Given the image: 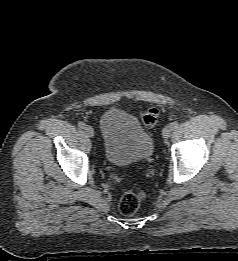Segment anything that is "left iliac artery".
<instances>
[{
	"mask_svg": "<svg viewBox=\"0 0 238 261\" xmlns=\"http://www.w3.org/2000/svg\"><path fill=\"white\" fill-rule=\"evenodd\" d=\"M178 125H179L178 121H174V122L171 123V126H172L173 129H176L178 127Z\"/></svg>",
	"mask_w": 238,
	"mask_h": 261,
	"instance_id": "obj_1",
	"label": "left iliac artery"
}]
</instances>
